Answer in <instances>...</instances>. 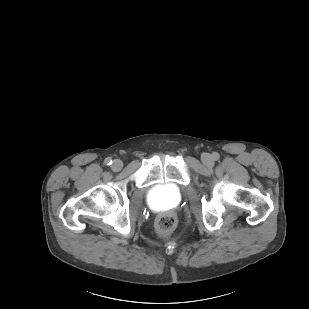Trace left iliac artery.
Here are the masks:
<instances>
[{
	"mask_svg": "<svg viewBox=\"0 0 309 309\" xmlns=\"http://www.w3.org/2000/svg\"><path fill=\"white\" fill-rule=\"evenodd\" d=\"M213 157H214L215 160H217L219 158V155L217 153H214Z\"/></svg>",
	"mask_w": 309,
	"mask_h": 309,
	"instance_id": "obj_1",
	"label": "left iliac artery"
}]
</instances>
